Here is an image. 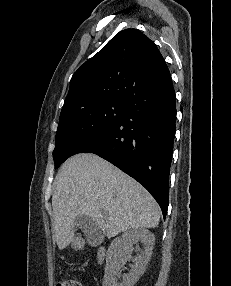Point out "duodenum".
<instances>
[{
  "instance_id": "duodenum-1",
  "label": "duodenum",
  "mask_w": 231,
  "mask_h": 286,
  "mask_svg": "<svg viewBox=\"0 0 231 286\" xmlns=\"http://www.w3.org/2000/svg\"><path fill=\"white\" fill-rule=\"evenodd\" d=\"M105 257H106V251L104 248H99L98 250V254H97V259H98V262L102 263L104 260H105Z\"/></svg>"
}]
</instances>
